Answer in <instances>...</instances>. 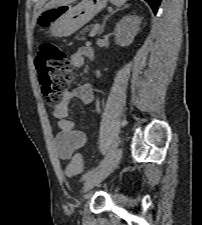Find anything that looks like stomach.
<instances>
[{
    "instance_id": "0dacf381",
    "label": "stomach",
    "mask_w": 202,
    "mask_h": 225,
    "mask_svg": "<svg viewBox=\"0 0 202 225\" xmlns=\"http://www.w3.org/2000/svg\"><path fill=\"white\" fill-rule=\"evenodd\" d=\"M108 0H82L75 6L61 5L47 9L45 12L53 15L54 20L50 24L49 32L53 37H69L97 13L104 9Z\"/></svg>"
}]
</instances>
